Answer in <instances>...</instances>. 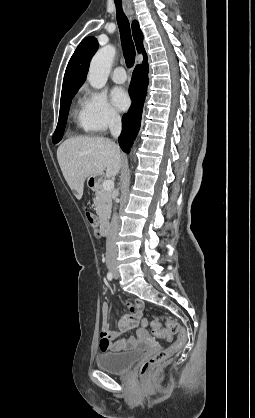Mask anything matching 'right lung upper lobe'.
Returning <instances> with one entry per match:
<instances>
[{
  "label": "right lung upper lobe",
  "mask_w": 255,
  "mask_h": 418,
  "mask_svg": "<svg viewBox=\"0 0 255 418\" xmlns=\"http://www.w3.org/2000/svg\"><path fill=\"white\" fill-rule=\"evenodd\" d=\"M132 34L136 44L137 51L143 53L144 61L147 62V56L143 46V34L136 20L132 22ZM98 49V41L95 37H87L81 41L72 55L65 71L62 93L78 90L84 83L89 62Z\"/></svg>",
  "instance_id": "cb5924a9"
}]
</instances>
